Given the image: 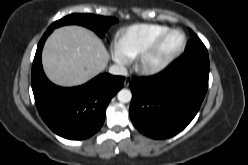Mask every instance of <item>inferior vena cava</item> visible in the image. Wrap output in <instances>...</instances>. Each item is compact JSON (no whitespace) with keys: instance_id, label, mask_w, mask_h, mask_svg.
I'll use <instances>...</instances> for the list:
<instances>
[{"instance_id":"602c4592","label":"inferior vena cava","mask_w":248,"mask_h":165,"mask_svg":"<svg viewBox=\"0 0 248 165\" xmlns=\"http://www.w3.org/2000/svg\"><path fill=\"white\" fill-rule=\"evenodd\" d=\"M109 73L112 75L126 76L128 72H127V69L122 65H112L109 68Z\"/></svg>"}]
</instances>
